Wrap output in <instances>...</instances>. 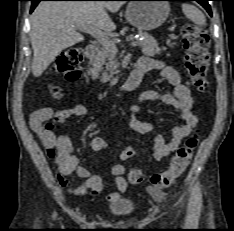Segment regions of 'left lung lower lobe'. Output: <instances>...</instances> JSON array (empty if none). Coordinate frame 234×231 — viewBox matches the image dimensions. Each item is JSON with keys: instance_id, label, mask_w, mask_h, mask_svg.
<instances>
[{"instance_id": "left-lung-lower-lobe-1", "label": "left lung lower lobe", "mask_w": 234, "mask_h": 231, "mask_svg": "<svg viewBox=\"0 0 234 231\" xmlns=\"http://www.w3.org/2000/svg\"><path fill=\"white\" fill-rule=\"evenodd\" d=\"M127 1H131V0H127ZM169 1H197V2L200 3V4L207 10V12L212 16L211 8H210V5L208 4V1H210V0H169Z\"/></svg>"}]
</instances>
